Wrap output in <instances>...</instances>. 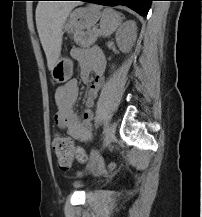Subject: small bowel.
Wrapping results in <instances>:
<instances>
[{
  "mask_svg": "<svg viewBox=\"0 0 202 217\" xmlns=\"http://www.w3.org/2000/svg\"><path fill=\"white\" fill-rule=\"evenodd\" d=\"M71 55L78 62L81 78L88 86L84 101L85 110L81 115L75 110L79 87L77 80L71 79L55 91L54 98L57 106L55 122L72 139L87 142L92 137L94 113L91 108L104 84L105 60L95 49L83 51L76 48L72 50ZM91 70L95 74L93 80L89 79Z\"/></svg>",
  "mask_w": 202,
  "mask_h": 217,
  "instance_id": "c3829d8e",
  "label": "small bowel"
}]
</instances>
